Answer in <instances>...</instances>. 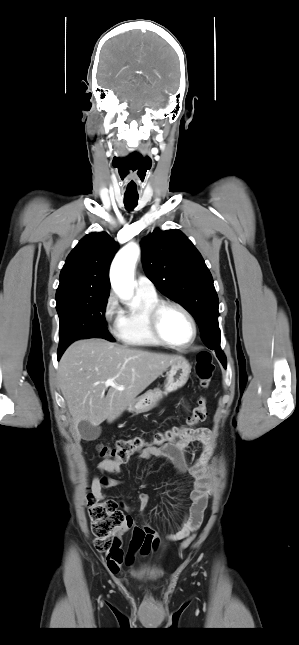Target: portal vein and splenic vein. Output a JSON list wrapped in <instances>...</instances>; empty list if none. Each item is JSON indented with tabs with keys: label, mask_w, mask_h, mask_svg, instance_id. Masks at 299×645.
Wrapping results in <instances>:
<instances>
[{
	"label": "portal vein and splenic vein",
	"mask_w": 299,
	"mask_h": 645,
	"mask_svg": "<svg viewBox=\"0 0 299 645\" xmlns=\"http://www.w3.org/2000/svg\"><path fill=\"white\" fill-rule=\"evenodd\" d=\"M105 385H106V386H112V387H115V388H117V389H123L122 387H118V386H116V384L114 383V380H113V379H108V380H106V381H105Z\"/></svg>",
	"instance_id": "obj_1"
}]
</instances>
